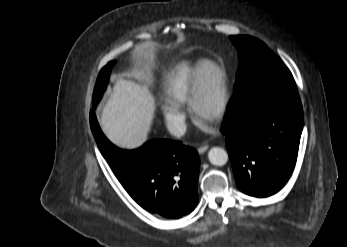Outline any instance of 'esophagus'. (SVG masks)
I'll return each instance as SVG.
<instances>
[{
	"label": "esophagus",
	"instance_id": "34e87169",
	"mask_svg": "<svg viewBox=\"0 0 347 247\" xmlns=\"http://www.w3.org/2000/svg\"><path fill=\"white\" fill-rule=\"evenodd\" d=\"M209 146L208 145H203V146H200L197 151L199 154H203L204 152H206L208 150Z\"/></svg>",
	"mask_w": 347,
	"mask_h": 247
}]
</instances>
